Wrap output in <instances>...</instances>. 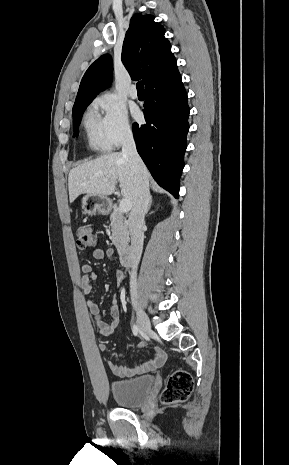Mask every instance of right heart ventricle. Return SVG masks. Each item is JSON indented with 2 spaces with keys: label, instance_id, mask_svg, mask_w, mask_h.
I'll return each mask as SVG.
<instances>
[{
  "label": "right heart ventricle",
  "instance_id": "right-heart-ventricle-1",
  "mask_svg": "<svg viewBox=\"0 0 289 465\" xmlns=\"http://www.w3.org/2000/svg\"><path fill=\"white\" fill-rule=\"evenodd\" d=\"M83 128L88 147L95 152L108 151L111 146L103 131L102 117L93 105L83 117Z\"/></svg>",
  "mask_w": 289,
  "mask_h": 465
}]
</instances>
